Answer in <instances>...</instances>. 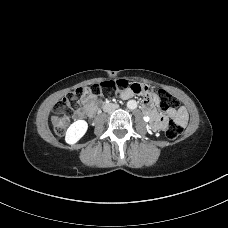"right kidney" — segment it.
<instances>
[{"label": "right kidney", "mask_w": 228, "mask_h": 228, "mask_svg": "<svg viewBox=\"0 0 228 228\" xmlns=\"http://www.w3.org/2000/svg\"><path fill=\"white\" fill-rule=\"evenodd\" d=\"M88 124L85 120H77L67 129L65 141L68 144L77 143L87 132Z\"/></svg>", "instance_id": "right-kidney-1"}]
</instances>
